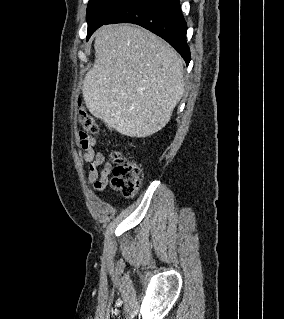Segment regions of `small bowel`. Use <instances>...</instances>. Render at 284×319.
<instances>
[{"instance_id":"small-bowel-1","label":"small bowel","mask_w":284,"mask_h":319,"mask_svg":"<svg viewBox=\"0 0 284 319\" xmlns=\"http://www.w3.org/2000/svg\"><path fill=\"white\" fill-rule=\"evenodd\" d=\"M78 143L81 148V159L89 165L88 182L95 191H103L109 182V175L112 172V165L105 156L94 150L96 141L85 132H79Z\"/></svg>"}]
</instances>
